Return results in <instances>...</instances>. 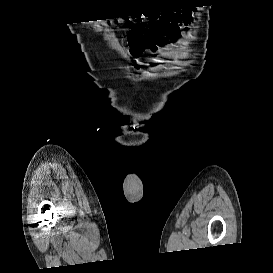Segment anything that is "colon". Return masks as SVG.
<instances>
[{"label": "colon", "mask_w": 273, "mask_h": 273, "mask_svg": "<svg viewBox=\"0 0 273 273\" xmlns=\"http://www.w3.org/2000/svg\"><path fill=\"white\" fill-rule=\"evenodd\" d=\"M127 27L129 28L128 37L131 42H140L144 36L149 35V26L145 22L127 21Z\"/></svg>", "instance_id": "5ec220e1"}]
</instances>
